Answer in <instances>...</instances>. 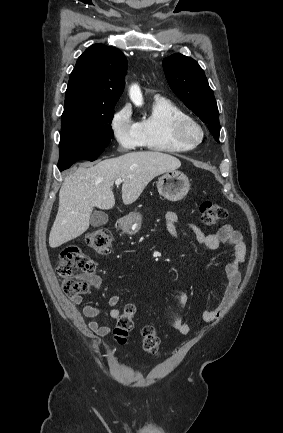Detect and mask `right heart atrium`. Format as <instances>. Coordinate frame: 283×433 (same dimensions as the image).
I'll return each instance as SVG.
<instances>
[{"instance_id":"1","label":"right heart atrium","mask_w":283,"mask_h":433,"mask_svg":"<svg viewBox=\"0 0 283 433\" xmlns=\"http://www.w3.org/2000/svg\"><path fill=\"white\" fill-rule=\"evenodd\" d=\"M109 129L119 154L136 150L144 145L139 122L134 120L132 107L128 103L114 110L109 120Z\"/></svg>"}]
</instances>
